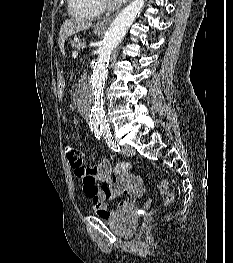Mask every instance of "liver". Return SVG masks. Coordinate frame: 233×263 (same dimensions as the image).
<instances>
[{
  "mask_svg": "<svg viewBox=\"0 0 233 263\" xmlns=\"http://www.w3.org/2000/svg\"><path fill=\"white\" fill-rule=\"evenodd\" d=\"M91 22L81 18H71L63 22L60 32L58 44L61 52L64 54L65 40L75 33L89 29Z\"/></svg>",
  "mask_w": 233,
  "mask_h": 263,
  "instance_id": "liver-1",
  "label": "liver"
}]
</instances>
